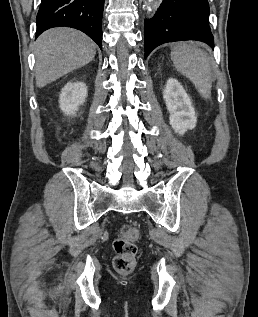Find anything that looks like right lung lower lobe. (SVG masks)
Masks as SVG:
<instances>
[{"label":"right lung lower lobe","instance_id":"obj_1","mask_svg":"<svg viewBox=\"0 0 258 317\" xmlns=\"http://www.w3.org/2000/svg\"><path fill=\"white\" fill-rule=\"evenodd\" d=\"M103 8L104 0H41L36 37L49 28L66 26L81 30L102 48Z\"/></svg>","mask_w":258,"mask_h":317}]
</instances>
